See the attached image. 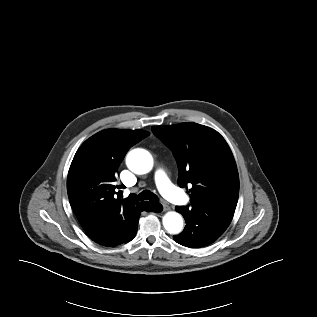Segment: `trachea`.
Instances as JSON below:
<instances>
[{"instance_id": "1", "label": "trachea", "mask_w": 317, "mask_h": 317, "mask_svg": "<svg viewBox=\"0 0 317 317\" xmlns=\"http://www.w3.org/2000/svg\"><path fill=\"white\" fill-rule=\"evenodd\" d=\"M137 200H147L149 199L152 202H158V196L149 190L142 191L137 197Z\"/></svg>"}]
</instances>
